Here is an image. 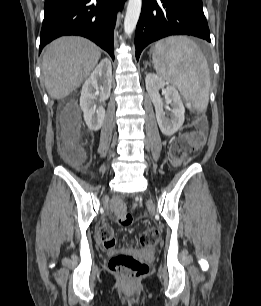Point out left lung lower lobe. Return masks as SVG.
Masks as SVG:
<instances>
[{"mask_svg": "<svg viewBox=\"0 0 261 306\" xmlns=\"http://www.w3.org/2000/svg\"><path fill=\"white\" fill-rule=\"evenodd\" d=\"M170 35H192L211 42L202 0H142L136 27V58L150 43Z\"/></svg>", "mask_w": 261, "mask_h": 306, "instance_id": "0a47b994", "label": "left lung lower lobe"}]
</instances>
